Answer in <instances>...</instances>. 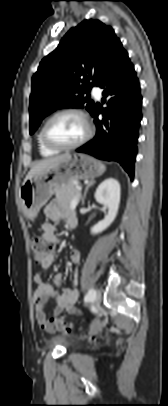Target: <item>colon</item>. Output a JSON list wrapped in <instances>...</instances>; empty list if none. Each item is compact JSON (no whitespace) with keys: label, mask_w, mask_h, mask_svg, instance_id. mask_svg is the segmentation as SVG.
Segmentation results:
<instances>
[{"label":"colon","mask_w":168,"mask_h":406,"mask_svg":"<svg viewBox=\"0 0 168 406\" xmlns=\"http://www.w3.org/2000/svg\"><path fill=\"white\" fill-rule=\"evenodd\" d=\"M31 248L33 251V258L36 263L42 264L45 262L53 252V246L46 242L43 238L35 236L31 240ZM54 327L63 332L72 331V326L67 322L63 316L54 318L52 320Z\"/></svg>","instance_id":"1"}]
</instances>
